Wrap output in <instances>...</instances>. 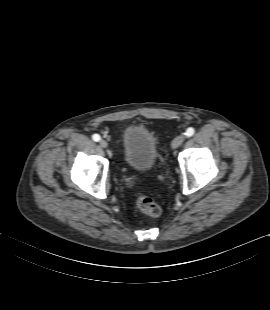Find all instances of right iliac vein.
Wrapping results in <instances>:
<instances>
[{
	"instance_id": "right-iliac-vein-1",
	"label": "right iliac vein",
	"mask_w": 270,
	"mask_h": 310,
	"mask_svg": "<svg viewBox=\"0 0 270 310\" xmlns=\"http://www.w3.org/2000/svg\"><path fill=\"white\" fill-rule=\"evenodd\" d=\"M99 144H100V146H101L102 148H107V147H108V143H107V141H105V140H101V141L99 142Z\"/></svg>"
}]
</instances>
